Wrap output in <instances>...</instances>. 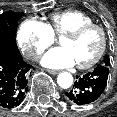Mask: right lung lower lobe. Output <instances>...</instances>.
Segmentation results:
<instances>
[{
    "instance_id": "1",
    "label": "right lung lower lobe",
    "mask_w": 117,
    "mask_h": 117,
    "mask_svg": "<svg viewBox=\"0 0 117 117\" xmlns=\"http://www.w3.org/2000/svg\"><path fill=\"white\" fill-rule=\"evenodd\" d=\"M31 71L16 42L0 41V109L14 108L24 100Z\"/></svg>"
}]
</instances>
